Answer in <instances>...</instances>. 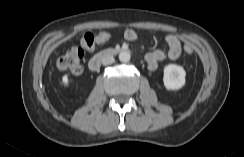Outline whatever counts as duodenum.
<instances>
[{"label": "duodenum", "mask_w": 244, "mask_h": 157, "mask_svg": "<svg viewBox=\"0 0 244 157\" xmlns=\"http://www.w3.org/2000/svg\"><path fill=\"white\" fill-rule=\"evenodd\" d=\"M124 51H125V49H123V48H110V49L103 50V51L95 54L89 60L88 67L91 71H96L100 67L102 61L105 58L117 55V54L124 52Z\"/></svg>", "instance_id": "410a0bca"}]
</instances>
